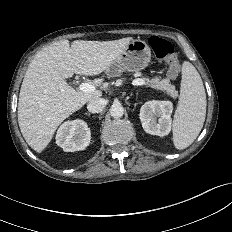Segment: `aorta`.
I'll list each match as a JSON object with an SVG mask.
<instances>
[{
  "mask_svg": "<svg viewBox=\"0 0 232 232\" xmlns=\"http://www.w3.org/2000/svg\"><path fill=\"white\" fill-rule=\"evenodd\" d=\"M124 114V108L120 103H114L110 107V115L113 118H121Z\"/></svg>",
  "mask_w": 232,
  "mask_h": 232,
  "instance_id": "aorta-1",
  "label": "aorta"
}]
</instances>
